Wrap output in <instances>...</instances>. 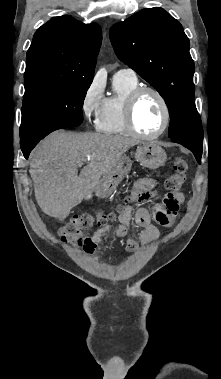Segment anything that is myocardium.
<instances>
[{
  "mask_svg": "<svg viewBox=\"0 0 221 379\" xmlns=\"http://www.w3.org/2000/svg\"><path fill=\"white\" fill-rule=\"evenodd\" d=\"M151 93L159 100L163 111V123L161 128L154 134H144L140 132L135 125V107L139 98L145 94ZM125 123L128 131L134 136L145 139L153 140L159 138L168 128L170 123V109L163 94L156 88L150 86H139L135 88L127 97L124 108Z\"/></svg>",
  "mask_w": 221,
  "mask_h": 379,
  "instance_id": "obj_1",
  "label": "myocardium"
}]
</instances>
